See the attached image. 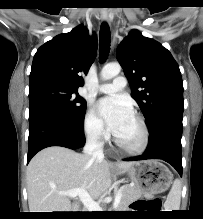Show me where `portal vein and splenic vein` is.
Wrapping results in <instances>:
<instances>
[{
    "instance_id": "18ae733b",
    "label": "portal vein and splenic vein",
    "mask_w": 203,
    "mask_h": 219,
    "mask_svg": "<svg viewBox=\"0 0 203 219\" xmlns=\"http://www.w3.org/2000/svg\"><path fill=\"white\" fill-rule=\"evenodd\" d=\"M59 194L69 196L70 198H76L78 196L81 202L84 204V206L89 210V212L102 211L99 203L95 202L84 188H76L70 191L60 192ZM121 197L122 194L120 191H118L115 194V199L113 202L114 208H116L119 205Z\"/></svg>"
}]
</instances>
